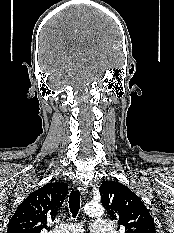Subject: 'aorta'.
<instances>
[{"label": "aorta", "mask_w": 174, "mask_h": 233, "mask_svg": "<svg viewBox=\"0 0 174 233\" xmlns=\"http://www.w3.org/2000/svg\"><path fill=\"white\" fill-rule=\"evenodd\" d=\"M84 211L91 217H101L104 214V208L100 204H86Z\"/></svg>", "instance_id": "1"}]
</instances>
